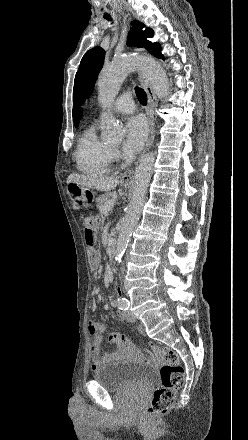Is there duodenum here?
Returning <instances> with one entry per match:
<instances>
[{
	"instance_id": "duodenum-1",
	"label": "duodenum",
	"mask_w": 248,
	"mask_h": 440,
	"mask_svg": "<svg viewBox=\"0 0 248 440\" xmlns=\"http://www.w3.org/2000/svg\"><path fill=\"white\" fill-rule=\"evenodd\" d=\"M114 254H115V241H111L110 248H109V251H108V261H109V263L112 262Z\"/></svg>"
}]
</instances>
